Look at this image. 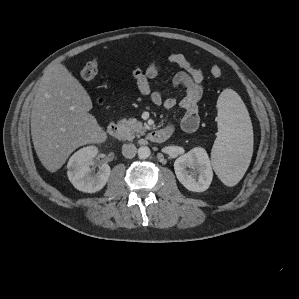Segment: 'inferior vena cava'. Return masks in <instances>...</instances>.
<instances>
[{
	"label": "inferior vena cava",
	"instance_id": "602c4592",
	"mask_svg": "<svg viewBox=\"0 0 299 299\" xmlns=\"http://www.w3.org/2000/svg\"><path fill=\"white\" fill-rule=\"evenodd\" d=\"M136 146L134 144H124L122 147V154L126 158H133L136 155Z\"/></svg>",
	"mask_w": 299,
	"mask_h": 299
}]
</instances>
